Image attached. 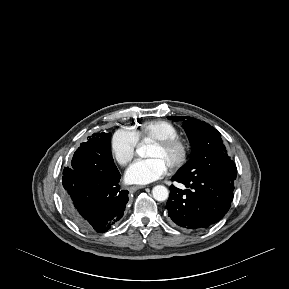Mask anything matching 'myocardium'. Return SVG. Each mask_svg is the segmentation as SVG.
<instances>
[{"label": "myocardium", "mask_w": 289, "mask_h": 289, "mask_svg": "<svg viewBox=\"0 0 289 289\" xmlns=\"http://www.w3.org/2000/svg\"><path fill=\"white\" fill-rule=\"evenodd\" d=\"M151 145L161 150L174 149L177 151L176 160L168 167L169 172H176L180 170L188 160L189 146L186 141L180 137L157 140L152 142Z\"/></svg>", "instance_id": "obj_1"}]
</instances>
